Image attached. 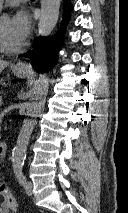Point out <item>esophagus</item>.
Here are the masks:
<instances>
[{"label": "esophagus", "mask_w": 128, "mask_h": 213, "mask_svg": "<svg viewBox=\"0 0 128 213\" xmlns=\"http://www.w3.org/2000/svg\"><path fill=\"white\" fill-rule=\"evenodd\" d=\"M15 68L17 69H27L28 66L25 63L19 62L15 65Z\"/></svg>", "instance_id": "1"}]
</instances>
